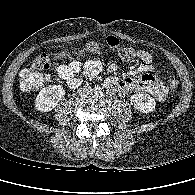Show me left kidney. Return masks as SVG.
Segmentation results:
<instances>
[{"label":"left kidney","instance_id":"5707ae66","mask_svg":"<svg viewBox=\"0 0 195 195\" xmlns=\"http://www.w3.org/2000/svg\"><path fill=\"white\" fill-rule=\"evenodd\" d=\"M131 104L142 113L153 112L156 106L155 100L145 93H136L130 98Z\"/></svg>","mask_w":195,"mask_h":195}]
</instances>
